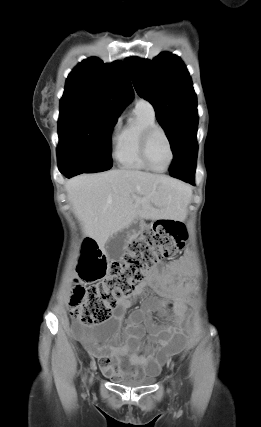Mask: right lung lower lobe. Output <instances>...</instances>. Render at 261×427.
I'll return each instance as SVG.
<instances>
[{
	"label": "right lung lower lobe",
	"instance_id": "1",
	"mask_svg": "<svg viewBox=\"0 0 261 427\" xmlns=\"http://www.w3.org/2000/svg\"><path fill=\"white\" fill-rule=\"evenodd\" d=\"M81 173H84V171H81V170H67V171L62 172V174L65 177H67V178H71V177H73L75 175H78V174H81Z\"/></svg>",
	"mask_w": 261,
	"mask_h": 427
}]
</instances>
